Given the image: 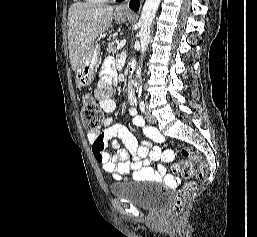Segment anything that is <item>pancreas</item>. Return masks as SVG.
<instances>
[{
  "label": "pancreas",
  "instance_id": "cf45deb5",
  "mask_svg": "<svg viewBox=\"0 0 257 237\" xmlns=\"http://www.w3.org/2000/svg\"><path fill=\"white\" fill-rule=\"evenodd\" d=\"M117 44H118V41H117L116 39H113V40L109 43V45H108L107 52L114 54V53L116 52V50H117V47H116Z\"/></svg>",
  "mask_w": 257,
  "mask_h": 237
}]
</instances>
